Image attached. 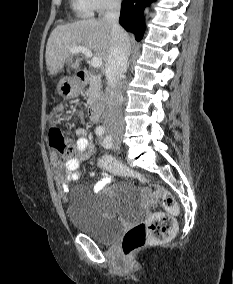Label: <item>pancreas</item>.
<instances>
[{
	"label": "pancreas",
	"instance_id": "1",
	"mask_svg": "<svg viewBox=\"0 0 233 284\" xmlns=\"http://www.w3.org/2000/svg\"><path fill=\"white\" fill-rule=\"evenodd\" d=\"M90 87L86 92L87 101L90 105L96 104L98 101L103 99V93L99 92L98 87L94 78H90Z\"/></svg>",
	"mask_w": 233,
	"mask_h": 284
}]
</instances>
